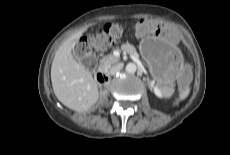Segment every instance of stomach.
I'll use <instances>...</instances> for the list:
<instances>
[{
  "instance_id": "obj_1",
  "label": "stomach",
  "mask_w": 230,
  "mask_h": 155,
  "mask_svg": "<svg viewBox=\"0 0 230 155\" xmlns=\"http://www.w3.org/2000/svg\"><path fill=\"white\" fill-rule=\"evenodd\" d=\"M139 50L159 88L163 90L175 82L184 63L177 46L152 35L141 40Z\"/></svg>"
}]
</instances>
